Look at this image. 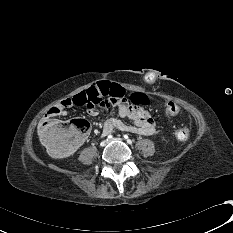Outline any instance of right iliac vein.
<instances>
[{"mask_svg":"<svg viewBox=\"0 0 233 233\" xmlns=\"http://www.w3.org/2000/svg\"><path fill=\"white\" fill-rule=\"evenodd\" d=\"M108 144V141L104 140L103 142H101V146L105 147Z\"/></svg>","mask_w":233,"mask_h":233,"instance_id":"right-iliac-vein-1","label":"right iliac vein"}]
</instances>
